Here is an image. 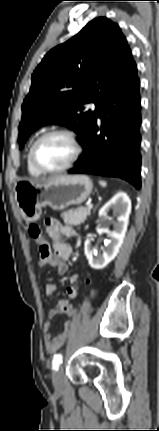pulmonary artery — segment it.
<instances>
[{
  "label": "pulmonary artery",
  "instance_id": "1",
  "mask_svg": "<svg viewBox=\"0 0 159 431\" xmlns=\"http://www.w3.org/2000/svg\"><path fill=\"white\" fill-rule=\"evenodd\" d=\"M90 107L93 109V108H94V105H90Z\"/></svg>",
  "mask_w": 159,
  "mask_h": 431
}]
</instances>
